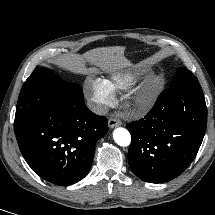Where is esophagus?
Returning <instances> with one entry per match:
<instances>
[{
	"label": "esophagus",
	"mask_w": 215,
	"mask_h": 215,
	"mask_svg": "<svg viewBox=\"0 0 215 215\" xmlns=\"http://www.w3.org/2000/svg\"><path fill=\"white\" fill-rule=\"evenodd\" d=\"M122 124V122L116 117H110L108 120V126L110 128L118 127Z\"/></svg>",
	"instance_id": "1"
}]
</instances>
